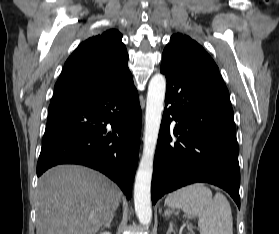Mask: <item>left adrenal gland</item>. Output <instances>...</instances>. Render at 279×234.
Returning a JSON list of instances; mask_svg holds the SVG:
<instances>
[{"label":"left adrenal gland","instance_id":"obj_1","mask_svg":"<svg viewBox=\"0 0 279 234\" xmlns=\"http://www.w3.org/2000/svg\"><path fill=\"white\" fill-rule=\"evenodd\" d=\"M172 232L174 233L175 231H174V229H173V223L170 222V223H169V228H168V230H167V234H171Z\"/></svg>","mask_w":279,"mask_h":234}]
</instances>
